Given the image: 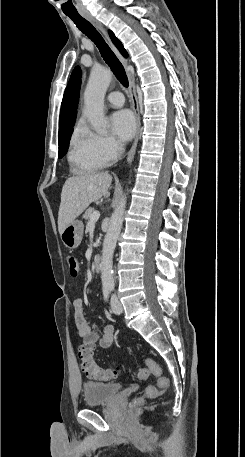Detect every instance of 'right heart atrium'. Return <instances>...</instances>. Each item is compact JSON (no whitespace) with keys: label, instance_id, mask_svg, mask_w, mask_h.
<instances>
[{"label":"right heart atrium","instance_id":"obj_1","mask_svg":"<svg viewBox=\"0 0 245 457\" xmlns=\"http://www.w3.org/2000/svg\"><path fill=\"white\" fill-rule=\"evenodd\" d=\"M85 141L91 151L105 164L116 160L122 151L121 144L112 136L85 130Z\"/></svg>","mask_w":245,"mask_h":457}]
</instances>
